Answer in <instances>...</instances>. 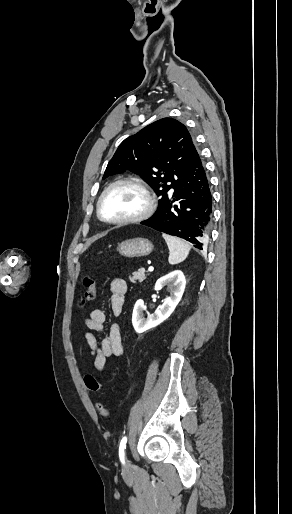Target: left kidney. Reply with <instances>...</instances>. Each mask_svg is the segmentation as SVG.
<instances>
[{
  "label": "left kidney",
  "mask_w": 292,
  "mask_h": 514,
  "mask_svg": "<svg viewBox=\"0 0 292 514\" xmlns=\"http://www.w3.org/2000/svg\"><path fill=\"white\" fill-rule=\"evenodd\" d=\"M167 284H171V286H169V290L172 292L171 296L165 298L159 310H156L154 314H148L147 318H144V312H146L147 306H145L143 300H137L132 314V324L137 334H143L146 330H150V328H155V326L162 324L164 320H167V318L171 316L177 304H179L186 286L183 272H181V270H175V272H170L167 276L159 278L154 286V290H162Z\"/></svg>",
  "instance_id": "obj_1"
}]
</instances>
